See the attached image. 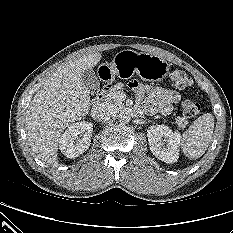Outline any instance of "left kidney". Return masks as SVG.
I'll use <instances>...</instances> for the list:
<instances>
[{
	"instance_id": "left-kidney-1",
	"label": "left kidney",
	"mask_w": 233,
	"mask_h": 233,
	"mask_svg": "<svg viewBox=\"0 0 233 233\" xmlns=\"http://www.w3.org/2000/svg\"><path fill=\"white\" fill-rule=\"evenodd\" d=\"M150 150L159 160L172 164L179 158L181 135L166 125H153L147 130Z\"/></svg>"
}]
</instances>
